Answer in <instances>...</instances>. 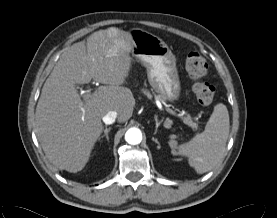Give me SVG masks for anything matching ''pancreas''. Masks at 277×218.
Returning a JSON list of instances; mask_svg holds the SVG:
<instances>
[{
    "label": "pancreas",
    "instance_id": "1",
    "mask_svg": "<svg viewBox=\"0 0 277 218\" xmlns=\"http://www.w3.org/2000/svg\"><path fill=\"white\" fill-rule=\"evenodd\" d=\"M142 91L145 95H147V97L150 98L152 96L149 91H147V90H142ZM183 121H184L185 124L192 127L193 129H197V127H198V125L195 122L192 121V118L189 115L184 117Z\"/></svg>",
    "mask_w": 277,
    "mask_h": 218
}]
</instances>
